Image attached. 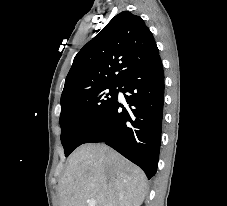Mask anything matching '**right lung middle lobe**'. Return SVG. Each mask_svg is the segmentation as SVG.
<instances>
[{
	"label": "right lung middle lobe",
	"mask_w": 227,
	"mask_h": 206,
	"mask_svg": "<svg viewBox=\"0 0 227 206\" xmlns=\"http://www.w3.org/2000/svg\"><path fill=\"white\" fill-rule=\"evenodd\" d=\"M120 84H107L76 93L61 101V142L65 156L84 143L92 129L118 99Z\"/></svg>",
	"instance_id": "dd1d6c3e"
}]
</instances>
